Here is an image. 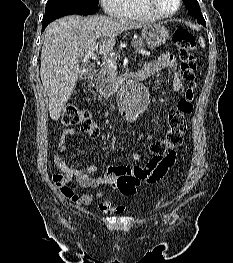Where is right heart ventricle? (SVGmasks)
Returning <instances> with one entry per match:
<instances>
[{
    "label": "right heart ventricle",
    "mask_w": 233,
    "mask_h": 263,
    "mask_svg": "<svg viewBox=\"0 0 233 263\" xmlns=\"http://www.w3.org/2000/svg\"><path fill=\"white\" fill-rule=\"evenodd\" d=\"M114 14L120 18L137 21H155L159 19L147 8L145 0H119Z\"/></svg>",
    "instance_id": "right-heart-ventricle-1"
}]
</instances>
